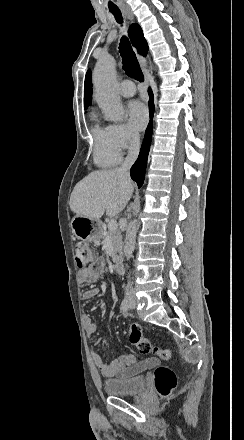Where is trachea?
Masks as SVG:
<instances>
[{
	"label": "trachea",
	"instance_id": "obj_1",
	"mask_svg": "<svg viewBox=\"0 0 244 440\" xmlns=\"http://www.w3.org/2000/svg\"><path fill=\"white\" fill-rule=\"evenodd\" d=\"M110 12L115 16L117 22H122V15L119 8H110ZM119 52L122 57L123 69L126 74L139 82H144L143 73L139 67L137 57L132 50L131 44L127 38L123 36L119 44Z\"/></svg>",
	"mask_w": 244,
	"mask_h": 440
}]
</instances>
